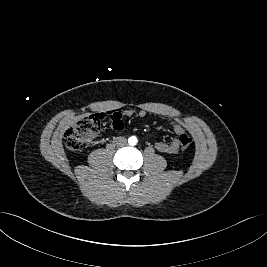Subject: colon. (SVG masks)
Returning a JSON list of instances; mask_svg holds the SVG:
<instances>
[{
	"mask_svg": "<svg viewBox=\"0 0 267 267\" xmlns=\"http://www.w3.org/2000/svg\"><path fill=\"white\" fill-rule=\"evenodd\" d=\"M103 114H93L82 117L65 131V147L72 152L82 150L99 133ZM179 141L183 149H188L192 144L191 137L186 133L179 134Z\"/></svg>",
	"mask_w": 267,
	"mask_h": 267,
	"instance_id": "1",
	"label": "colon"
}]
</instances>
